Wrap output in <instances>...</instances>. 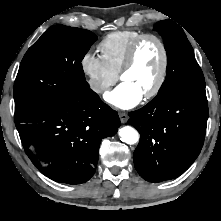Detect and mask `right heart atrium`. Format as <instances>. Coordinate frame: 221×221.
I'll list each match as a JSON object with an SVG mask.
<instances>
[{
	"label": "right heart atrium",
	"mask_w": 221,
	"mask_h": 221,
	"mask_svg": "<svg viewBox=\"0 0 221 221\" xmlns=\"http://www.w3.org/2000/svg\"><path fill=\"white\" fill-rule=\"evenodd\" d=\"M80 66L90 89L98 95L105 93L117 81V74L101 56L92 51H87L82 56Z\"/></svg>",
	"instance_id": "d8ad5b80"
}]
</instances>
